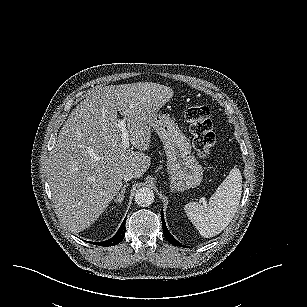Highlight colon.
<instances>
[{
    "instance_id": "obj_1",
    "label": "colon",
    "mask_w": 307,
    "mask_h": 307,
    "mask_svg": "<svg viewBox=\"0 0 307 307\" xmlns=\"http://www.w3.org/2000/svg\"><path fill=\"white\" fill-rule=\"evenodd\" d=\"M185 118L193 136L195 152L201 158L207 157L215 144L209 107L201 103L191 105L185 112Z\"/></svg>"
}]
</instances>
